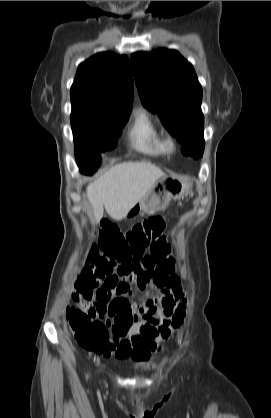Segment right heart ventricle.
Masks as SVG:
<instances>
[{
	"mask_svg": "<svg viewBox=\"0 0 271 418\" xmlns=\"http://www.w3.org/2000/svg\"><path fill=\"white\" fill-rule=\"evenodd\" d=\"M128 137L131 147L139 153L151 157L163 156L166 153L162 134L145 111H140L136 115Z\"/></svg>",
	"mask_w": 271,
	"mask_h": 418,
	"instance_id": "right-heart-ventricle-1",
	"label": "right heart ventricle"
}]
</instances>
